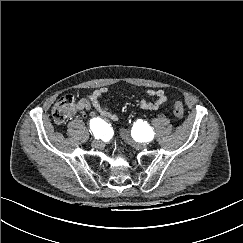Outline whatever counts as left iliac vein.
Masks as SVG:
<instances>
[{"instance_id": "1", "label": "left iliac vein", "mask_w": 243, "mask_h": 243, "mask_svg": "<svg viewBox=\"0 0 243 243\" xmlns=\"http://www.w3.org/2000/svg\"><path fill=\"white\" fill-rule=\"evenodd\" d=\"M121 136L122 138L130 145L136 147V148H142V147H146V144L144 143H138V142H135L132 137L130 136V133L129 131H127L126 129H122L121 130Z\"/></svg>"}]
</instances>
